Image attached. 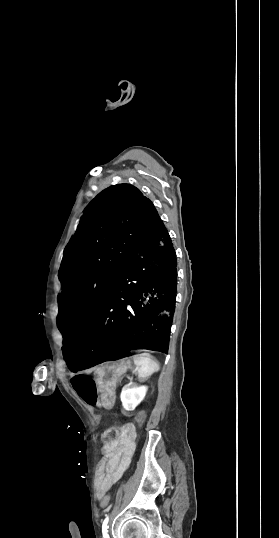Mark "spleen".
Instances as JSON below:
<instances>
[{
    "label": "spleen",
    "mask_w": 279,
    "mask_h": 538,
    "mask_svg": "<svg viewBox=\"0 0 279 538\" xmlns=\"http://www.w3.org/2000/svg\"><path fill=\"white\" fill-rule=\"evenodd\" d=\"M133 362L135 366L139 368V376L141 378H146V376H151L154 372H158L159 364L152 360L150 354H138V356H133Z\"/></svg>",
    "instance_id": "obj_1"
}]
</instances>
